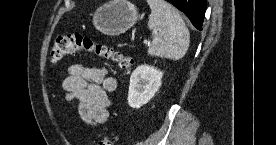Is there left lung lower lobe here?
I'll return each mask as SVG.
<instances>
[{"label": "left lung lower lobe", "mask_w": 276, "mask_h": 145, "mask_svg": "<svg viewBox=\"0 0 276 145\" xmlns=\"http://www.w3.org/2000/svg\"><path fill=\"white\" fill-rule=\"evenodd\" d=\"M179 10L184 12L192 24L202 30L203 19L206 11V0H167Z\"/></svg>", "instance_id": "0a47b994"}]
</instances>
